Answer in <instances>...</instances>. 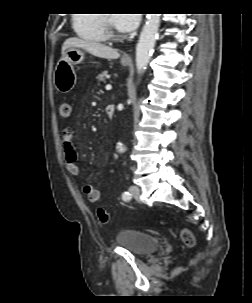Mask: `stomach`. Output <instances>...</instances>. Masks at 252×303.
<instances>
[{"instance_id": "1", "label": "stomach", "mask_w": 252, "mask_h": 303, "mask_svg": "<svg viewBox=\"0 0 252 303\" xmlns=\"http://www.w3.org/2000/svg\"><path fill=\"white\" fill-rule=\"evenodd\" d=\"M84 60V52L78 47H69L58 61L54 73V85L61 93L70 92L77 81L74 65ZM128 61H122L127 66Z\"/></svg>"}]
</instances>
